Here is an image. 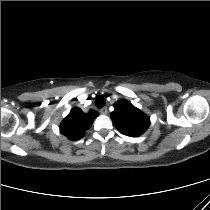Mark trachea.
<instances>
[{"instance_id":"trachea-1","label":"trachea","mask_w":210,"mask_h":210,"mask_svg":"<svg viewBox=\"0 0 210 210\" xmlns=\"http://www.w3.org/2000/svg\"><path fill=\"white\" fill-rule=\"evenodd\" d=\"M106 100L103 96H98L95 100V105L98 108H102L105 106Z\"/></svg>"}]
</instances>
